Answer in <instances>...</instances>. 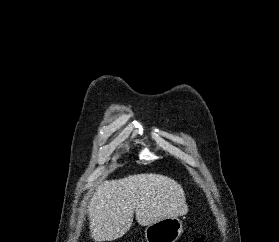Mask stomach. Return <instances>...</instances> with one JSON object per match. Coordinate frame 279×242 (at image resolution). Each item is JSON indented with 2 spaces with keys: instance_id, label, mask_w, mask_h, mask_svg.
<instances>
[{
  "instance_id": "1",
  "label": "stomach",
  "mask_w": 279,
  "mask_h": 242,
  "mask_svg": "<svg viewBox=\"0 0 279 242\" xmlns=\"http://www.w3.org/2000/svg\"><path fill=\"white\" fill-rule=\"evenodd\" d=\"M182 233V220L178 217H167L148 225L145 238L147 242H176Z\"/></svg>"
}]
</instances>
